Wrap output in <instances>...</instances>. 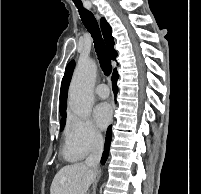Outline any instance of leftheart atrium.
Here are the masks:
<instances>
[{"label":"left heart atrium","instance_id":"1","mask_svg":"<svg viewBox=\"0 0 201 194\" xmlns=\"http://www.w3.org/2000/svg\"><path fill=\"white\" fill-rule=\"evenodd\" d=\"M93 116L96 124L104 129L111 120L112 109L108 103H100L95 107Z\"/></svg>","mask_w":201,"mask_h":194}]
</instances>
